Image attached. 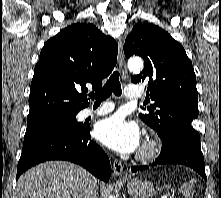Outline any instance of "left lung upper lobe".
Masks as SVG:
<instances>
[{"label": "left lung upper lobe", "instance_id": "left-lung-upper-lobe-1", "mask_svg": "<svg viewBox=\"0 0 221 198\" xmlns=\"http://www.w3.org/2000/svg\"><path fill=\"white\" fill-rule=\"evenodd\" d=\"M127 58L139 55L144 70L131 78L146 84V102L140 118L155 129L161 139L171 136L199 138L193 127L198 117L196 76L184 48L170 34L151 23H138L123 46Z\"/></svg>", "mask_w": 221, "mask_h": 198}]
</instances>
